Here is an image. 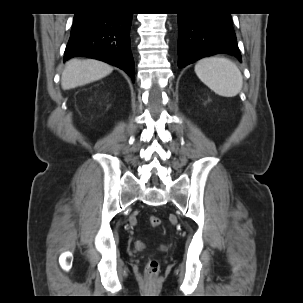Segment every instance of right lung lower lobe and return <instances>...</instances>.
<instances>
[{"label":"right lung lower lobe","mask_w":303,"mask_h":303,"mask_svg":"<svg viewBox=\"0 0 303 303\" xmlns=\"http://www.w3.org/2000/svg\"><path fill=\"white\" fill-rule=\"evenodd\" d=\"M131 13L113 9H90L75 14L64 61L85 56L124 70L135 81L130 49Z\"/></svg>","instance_id":"1"}]
</instances>
